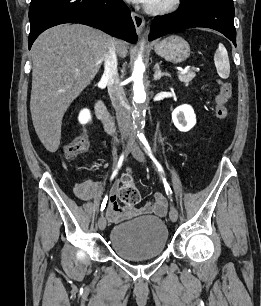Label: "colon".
<instances>
[{
	"instance_id": "1",
	"label": "colon",
	"mask_w": 261,
	"mask_h": 306,
	"mask_svg": "<svg viewBox=\"0 0 261 306\" xmlns=\"http://www.w3.org/2000/svg\"><path fill=\"white\" fill-rule=\"evenodd\" d=\"M232 85L229 82H220L219 93L215 97V115L219 119H226L228 110L226 103L232 95ZM89 146L86 135H80L69 142L65 147V154L68 158H75L84 153ZM119 198L127 210H134V207L140 201V193L133 182L130 173H126L122 177V185L119 190Z\"/></svg>"
}]
</instances>
